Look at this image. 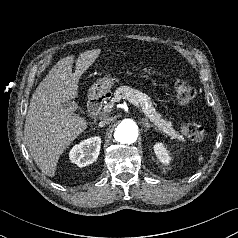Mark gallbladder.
Instances as JSON below:
<instances>
[{
    "mask_svg": "<svg viewBox=\"0 0 238 238\" xmlns=\"http://www.w3.org/2000/svg\"><path fill=\"white\" fill-rule=\"evenodd\" d=\"M64 105H65L67 108H69V109H71V110H73V111H76V110L78 109L77 104H76L75 102H73V101H70V100L65 101V102H64Z\"/></svg>",
    "mask_w": 238,
    "mask_h": 238,
    "instance_id": "gallbladder-1",
    "label": "gallbladder"
}]
</instances>
